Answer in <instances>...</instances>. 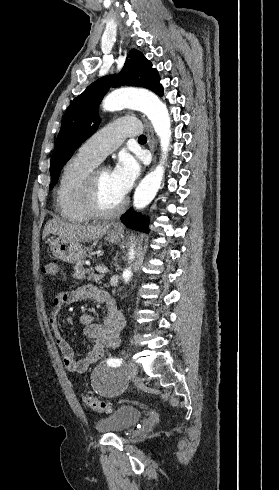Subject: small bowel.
Segmentation results:
<instances>
[{
	"label": "small bowel",
	"instance_id": "1",
	"mask_svg": "<svg viewBox=\"0 0 279 490\" xmlns=\"http://www.w3.org/2000/svg\"><path fill=\"white\" fill-rule=\"evenodd\" d=\"M85 300L101 304L106 310L101 323H97L92 314L83 313L79 316L84 335L93 341V345L84 358L76 360L73 348L61 331L58 315L66 305ZM49 323L56 345L62 353L65 367L71 372L78 373L86 372L90 365L104 356L107 350L118 348L120 335L125 326L123 315L109 293L89 284L57 294L53 299Z\"/></svg>",
	"mask_w": 279,
	"mask_h": 490
}]
</instances>
